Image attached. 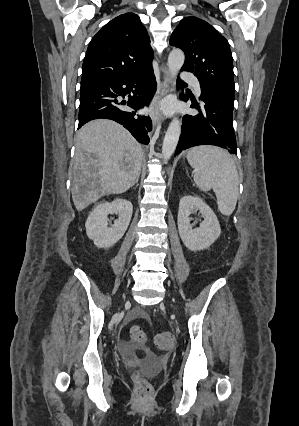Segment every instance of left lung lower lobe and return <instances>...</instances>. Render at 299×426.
I'll list each match as a JSON object with an SVG mask.
<instances>
[{
  "label": "left lung lower lobe",
  "instance_id": "obj_1",
  "mask_svg": "<svg viewBox=\"0 0 299 426\" xmlns=\"http://www.w3.org/2000/svg\"><path fill=\"white\" fill-rule=\"evenodd\" d=\"M178 82L183 87L184 82L180 80ZM184 85L187 86V84ZM180 99L187 101L188 96L181 94ZM200 100L201 106L193 101L191 105V108L195 107L200 114L183 117L181 136L175 155L197 145H216L225 148L232 155L237 154L232 119L234 103L202 86Z\"/></svg>",
  "mask_w": 299,
  "mask_h": 426
}]
</instances>
